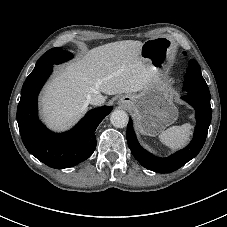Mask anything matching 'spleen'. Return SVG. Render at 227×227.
Returning a JSON list of instances; mask_svg holds the SVG:
<instances>
[{"label": "spleen", "instance_id": "spleen-1", "mask_svg": "<svg viewBox=\"0 0 227 227\" xmlns=\"http://www.w3.org/2000/svg\"><path fill=\"white\" fill-rule=\"evenodd\" d=\"M191 124L172 126L159 135L160 141L171 149H179L186 145L191 135Z\"/></svg>", "mask_w": 227, "mask_h": 227}]
</instances>
